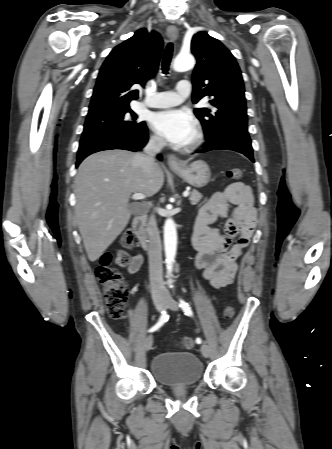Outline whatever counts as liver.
<instances>
[{"instance_id":"liver-1","label":"liver","mask_w":332,"mask_h":449,"mask_svg":"<svg viewBox=\"0 0 332 449\" xmlns=\"http://www.w3.org/2000/svg\"><path fill=\"white\" fill-rule=\"evenodd\" d=\"M136 154L124 150L90 155L79 166L75 179V216L91 262L96 261L127 226L132 193L151 196L163 186L164 174L155 163L150 174L135 162Z\"/></svg>"}]
</instances>
